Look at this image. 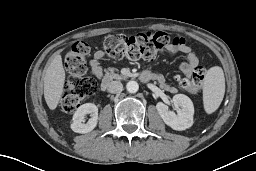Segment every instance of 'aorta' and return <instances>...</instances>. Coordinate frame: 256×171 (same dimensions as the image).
<instances>
[{
	"mask_svg": "<svg viewBox=\"0 0 256 171\" xmlns=\"http://www.w3.org/2000/svg\"><path fill=\"white\" fill-rule=\"evenodd\" d=\"M126 88L129 93H136L139 89V85L136 81H129Z\"/></svg>",
	"mask_w": 256,
	"mask_h": 171,
	"instance_id": "1",
	"label": "aorta"
}]
</instances>
